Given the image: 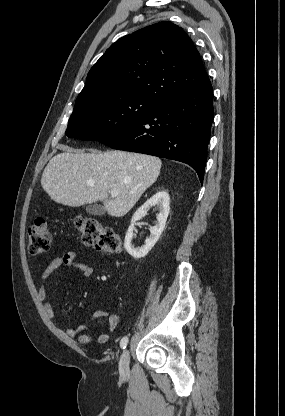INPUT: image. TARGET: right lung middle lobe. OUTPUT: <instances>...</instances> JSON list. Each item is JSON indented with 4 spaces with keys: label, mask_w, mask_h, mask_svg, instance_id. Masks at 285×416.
I'll return each mask as SVG.
<instances>
[{
    "label": "right lung middle lobe",
    "mask_w": 285,
    "mask_h": 416,
    "mask_svg": "<svg viewBox=\"0 0 285 416\" xmlns=\"http://www.w3.org/2000/svg\"><path fill=\"white\" fill-rule=\"evenodd\" d=\"M157 106L144 98L126 97L73 110L65 135L100 141L133 125Z\"/></svg>",
    "instance_id": "obj_1"
}]
</instances>
